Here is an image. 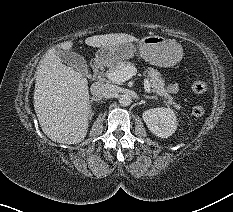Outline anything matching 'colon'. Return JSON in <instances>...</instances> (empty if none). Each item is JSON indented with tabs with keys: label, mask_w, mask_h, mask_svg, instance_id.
Returning <instances> with one entry per match:
<instances>
[{
	"label": "colon",
	"mask_w": 233,
	"mask_h": 212,
	"mask_svg": "<svg viewBox=\"0 0 233 212\" xmlns=\"http://www.w3.org/2000/svg\"><path fill=\"white\" fill-rule=\"evenodd\" d=\"M190 87L193 92L198 93V94L205 92L207 89L206 84L203 81H199V80L193 81ZM204 112H205L204 108L201 105H196L192 109V114L196 117L202 116Z\"/></svg>",
	"instance_id": "colon-1"
}]
</instances>
